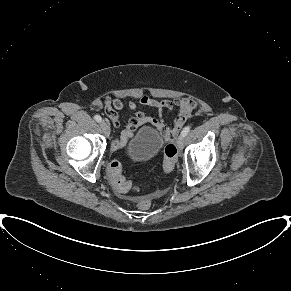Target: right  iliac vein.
I'll use <instances>...</instances> for the list:
<instances>
[{"label":"right iliac vein","instance_id":"obj_1","mask_svg":"<svg viewBox=\"0 0 291 291\" xmlns=\"http://www.w3.org/2000/svg\"><path fill=\"white\" fill-rule=\"evenodd\" d=\"M100 126H101V128H102V130H103L105 135H109L110 134V126H109L108 122L103 120V121L100 122Z\"/></svg>","mask_w":291,"mask_h":291}]
</instances>
